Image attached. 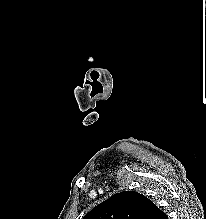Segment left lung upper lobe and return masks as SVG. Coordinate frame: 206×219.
<instances>
[{
  "label": "left lung upper lobe",
  "instance_id": "5c2ea615",
  "mask_svg": "<svg viewBox=\"0 0 206 219\" xmlns=\"http://www.w3.org/2000/svg\"><path fill=\"white\" fill-rule=\"evenodd\" d=\"M153 207L144 195L123 191L95 206L83 219H151Z\"/></svg>",
  "mask_w": 206,
  "mask_h": 219
}]
</instances>
